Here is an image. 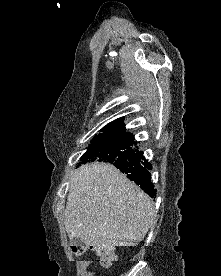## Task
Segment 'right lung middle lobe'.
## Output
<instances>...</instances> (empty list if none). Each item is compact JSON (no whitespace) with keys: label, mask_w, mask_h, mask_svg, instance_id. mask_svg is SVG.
Here are the masks:
<instances>
[{"label":"right lung middle lobe","mask_w":221,"mask_h":276,"mask_svg":"<svg viewBox=\"0 0 221 276\" xmlns=\"http://www.w3.org/2000/svg\"><path fill=\"white\" fill-rule=\"evenodd\" d=\"M134 136L126 134H107L94 137L88 150L80 158L78 164L103 161L113 163L119 159H126L135 152Z\"/></svg>","instance_id":"right-lung-middle-lobe-1"}]
</instances>
